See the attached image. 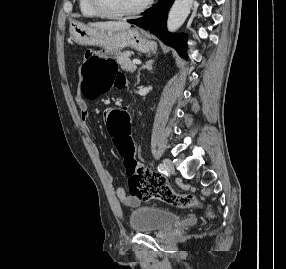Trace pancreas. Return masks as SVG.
Here are the masks:
<instances>
[{
	"instance_id": "pancreas-1",
	"label": "pancreas",
	"mask_w": 286,
	"mask_h": 269,
	"mask_svg": "<svg viewBox=\"0 0 286 269\" xmlns=\"http://www.w3.org/2000/svg\"><path fill=\"white\" fill-rule=\"evenodd\" d=\"M117 63L121 66L123 70L134 72L136 69V64L129 58V53H122L117 58Z\"/></svg>"
}]
</instances>
